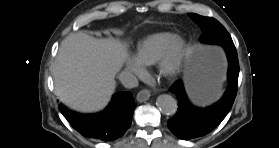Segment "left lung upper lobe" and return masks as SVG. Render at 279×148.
I'll use <instances>...</instances> for the list:
<instances>
[{"label": "left lung upper lobe", "instance_id": "left-lung-upper-lobe-1", "mask_svg": "<svg viewBox=\"0 0 279 148\" xmlns=\"http://www.w3.org/2000/svg\"><path fill=\"white\" fill-rule=\"evenodd\" d=\"M189 15L202 30L200 42L221 45L224 42L232 41L231 36L227 30L216 19L211 17H203L197 14Z\"/></svg>", "mask_w": 279, "mask_h": 148}]
</instances>
